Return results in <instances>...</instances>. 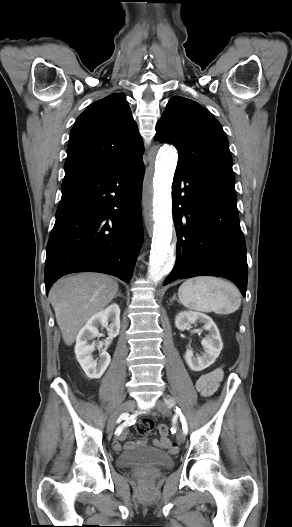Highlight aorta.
Listing matches in <instances>:
<instances>
[{
  "instance_id": "aorta-1",
  "label": "aorta",
  "mask_w": 292,
  "mask_h": 527,
  "mask_svg": "<svg viewBox=\"0 0 292 527\" xmlns=\"http://www.w3.org/2000/svg\"><path fill=\"white\" fill-rule=\"evenodd\" d=\"M177 152L172 146L158 151L154 173H147L144 179L145 196L153 206V238L150 252V275L159 281L173 267L172 251V199L171 187L177 165Z\"/></svg>"
}]
</instances>
